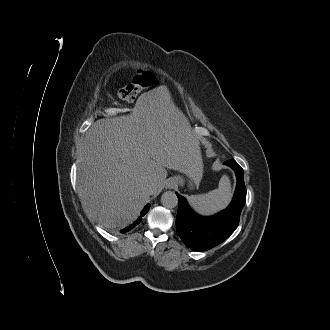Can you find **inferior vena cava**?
I'll return each mask as SVG.
<instances>
[{"mask_svg":"<svg viewBox=\"0 0 330 330\" xmlns=\"http://www.w3.org/2000/svg\"><path fill=\"white\" fill-rule=\"evenodd\" d=\"M155 186H156L155 182H153L152 180L148 181L147 190L150 194H153Z\"/></svg>","mask_w":330,"mask_h":330,"instance_id":"obj_1","label":"inferior vena cava"}]
</instances>
